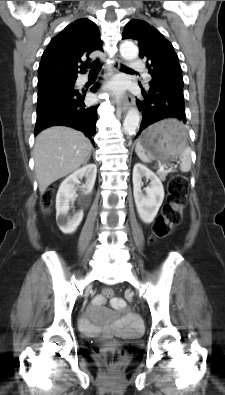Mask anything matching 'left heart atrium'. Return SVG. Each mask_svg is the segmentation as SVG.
I'll list each match as a JSON object with an SVG mask.
<instances>
[{
	"mask_svg": "<svg viewBox=\"0 0 225 395\" xmlns=\"http://www.w3.org/2000/svg\"><path fill=\"white\" fill-rule=\"evenodd\" d=\"M110 89L115 93H120L122 91V84L120 82H114Z\"/></svg>",
	"mask_w": 225,
	"mask_h": 395,
	"instance_id": "obj_1",
	"label": "left heart atrium"
}]
</instances>
